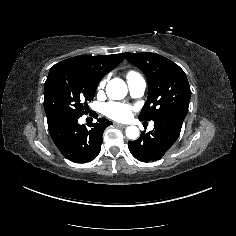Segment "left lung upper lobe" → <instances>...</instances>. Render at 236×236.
I'll return each mask as SVG.
<instances>
[{"mask_svg":"<svg viewBox=\"0 0 236 236\" xmlns=\"http://www.w3.org/2000/svg\"><path fill=\"white\" fill-rule=\"evenodd\" d=\"M126 59L147 76L148 99L139 120L150 121L170 113L186 116L191 90L184 71L155 53H126Z\"/></svg>","mask_w":236,"mask_h":236,"instance_id":"1","label":"left lung upper lobe"}]
</instances>
